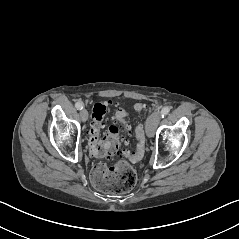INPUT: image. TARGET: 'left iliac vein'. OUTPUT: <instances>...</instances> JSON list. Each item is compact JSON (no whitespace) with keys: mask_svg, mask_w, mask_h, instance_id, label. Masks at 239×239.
I'll return each instance as SVG.
<instances>
[{"mask_svg":"<svg viewBox=\"0 0 239 239\" xmlns=\"http://www.w3.org/2000/svg\"><path fill=\"white\" fill-rule=\"evenodd\" d=\"M161 120V113L154 112L152 113L146 122V133L148 137H153L156 131V128Z\"/></svg>","mask_w":239,"mask_h":239,"instance_id":"4c4485c4","label":"left iliac vein"}]
</instances>
